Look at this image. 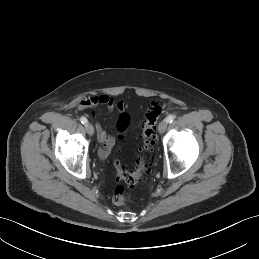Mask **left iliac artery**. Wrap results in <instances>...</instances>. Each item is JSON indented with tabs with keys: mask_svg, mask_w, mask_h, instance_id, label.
Listing matches in <instances>:
<instances>
[{
	"mask_svg": "<svg viewBox=\"0 0 259 259\" xmlns=\"http://www.w3.org/2000/svg\"><path fill=\"white\" fill-rule=\"evenodd\" d=\"M174 115H169L167 118H166V121L168 122V123H172L173 122V120H174Z\"/></svg>",
	"mask_w": 259,
	"mask_h": 259,
	"instance_id": "obj_1",
	"label": "left iliac artery"
}]
</instances>
